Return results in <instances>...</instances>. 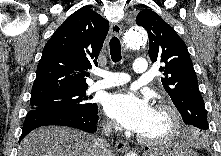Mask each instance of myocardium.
<instances>
[{"instance_id": "obj_1", "label": "myocardium", "mask_w": 221, "mask_h": 156, "mask_svg": "<svg viewBox=\"0 0 221 156\" xmlns=\"http://www.w3.org/2000/svg\"><path fill=\"white\" fill-rule=\"evenodd\" d=\"M155 109L164 112L169 119V126L165 133L155 136L148 137L144 135H139V140L147 145H160L172 140L179 133L181 127V117L178 110L169 102L161 101L159 102Z\"/></svg>"}]
</instances>
